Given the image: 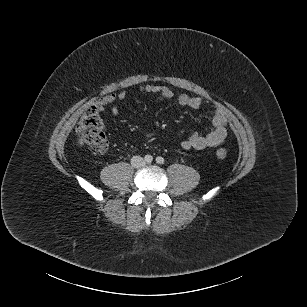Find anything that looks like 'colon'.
Instances as JSON below:
<instances>
[{
  "instance_id": "5ec220e1",
  "label": "colon",
  "mask_w": 307,
  "mask_h": 307,
  "mask_svg": "<svg viewBox=\"0 0 307 307\" xmlns=\"http://www.w3.org/2000/svg\"><path fill=\"white\" fill-rule=\"evenodd\" d=\"M77 140L79 145L89 146L97 152L107 150L108 142L103 131V122L95 106L90 107L82 116L77 128ZM216 155L223 160L227 153L224 148H219Z\"/></svg>"
}]
</instances>
